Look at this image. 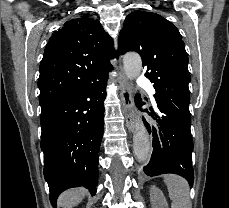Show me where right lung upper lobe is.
I'll return each mask as SVG.
<instances>
[{
    "instance_id": "1",
    "label": "right lung upper lobe",
    "mask_w": 229,
    "mask_h": 208,
    "mask_svg": "<svg viewBox=\"0 0 229 208\" xmlns=\"http://www.w3.org/2000/svg\"><path fill=\"white\" fill-rule=\"evenodd\" d=\"M115 56L112 38L98 20L82 16L65 22L50 37L40 64V105H53L107 75Z\"/></svg>"
}]
</instances>
